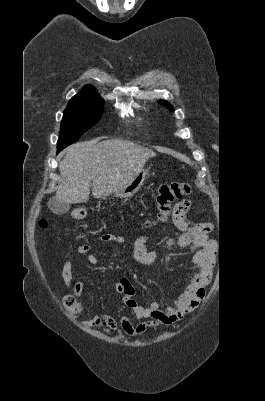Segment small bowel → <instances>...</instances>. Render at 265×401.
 I'll return each mask as SVG.
<instances>
[{
  "instance_id": "1",
  "label": "small bowel",
  "mask_w": 265,
  "mask_h": 401,
  "mask_svg": "<svg viewBox=\"0 0 265 401\" xmlns=\"http://www.w3.org/2000/svg\"><path fill=\"white\" fill-rule=\"evenodd\" d=\"M191 207L189 200L177 203L172 212L175 226L180 230L176 237L164 239L163 245L166 248H188L193 253L194 271L190 275L184 291L172 300L169 307H160L157 302H151L146 306L138 303L135 298V289L127 278L120 279L116 284L118 304L130 308L137 319H150L139 324H133L130 319L121 315L117 320L108 313H98L83 323L86 327L101 328L106 333L121 330L126 335L136 337L144 334L150 328L158 325H171L181 320L186 314L192 312L205 296V286L212 277L216 263V245L209 237L213 229L210 222L188 223L186 216ZM100 242L121 245L125 242L123 235L103 234L99 237ZM148 238L141 236L137 238L132 247L134 259L141 265H150L156 262L158 254L148 247ZM91 244H83L76 248L65 261L62 267V279L65 286L75 296H80L84 282L82 280L73 283V262L78 256L86 255L89 263L97 265L99 260L90 251Z\"/></svg>"
}]
</instances>
